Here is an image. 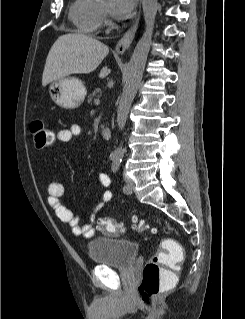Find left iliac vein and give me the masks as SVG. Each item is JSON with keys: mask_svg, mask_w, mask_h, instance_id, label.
Listing matches in <instances>:
<instances>
[{"mask_svg": "<svg viewBox=\"0 0 245 319\" xmlns=\"http://www.w3.org/2000/svg\"><path fill=\"white\" fill-rule=\"evenodd\" d=\"M124 179H125L126 185L128 187V190H126L125 192L130 194L134 190V183H133L132 179L128 176H125Z\"/></svg>", "mask_w": 245, "mask_h": 319, "instance_id": "obj_1", "label": "left iliac vein"}]
</instances>
